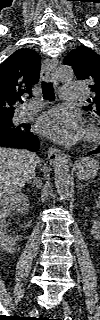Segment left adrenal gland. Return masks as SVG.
Returning <instances> with one entry per match:
<instances>
[{
  "label": "left adrenal gland",
  "mask_w": 100,
  "mask_h": 320,
  "mask_svg": "<svg viewBox=\"0 0 100 320\" xmlns=\"http://www.w3.org/2000/svg\"><path fill=\"white\" fill-rule=\"evenodd\" d=\"M85 186H87V185H83L82 183H79L78 184V188H79V190H81L83 187H85Z\"/></svg>",
  "instance_id": "1"
}]
</instances>
